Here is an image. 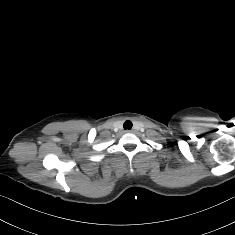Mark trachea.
Instances as JSON below:
<instances>
[{
    "label": "trachea",
    "mask_w": 235,
    "mask_h": 235,
    "mask_svg": "<svg viewBox=\"0 0 235 235\" xmlns=\"http://www.w3.org/2000/svg\"><path fill=\"white\" fill-rule=\"evenodd\" d=\"M132 128V122L127 120L126 122H124V129H128L130 130Z\"/></svg>",
    "instance_id": "obj_1"
}]
</instances>
